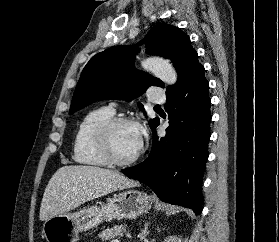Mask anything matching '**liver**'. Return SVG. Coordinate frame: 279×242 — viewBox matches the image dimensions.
<instances>
[{"instance_id": "obj_1", "label": "liver", "mask_w": 279, "mask_h": 242, "mask_svg": "<svg viewBox=\"0 0 279 242\" xmlns=\"http://www.w3.org/2000/svg\"><path fill=\"white\" fill-rule=\"evenodd\" d=\"M137 185V182L113 170L82 165L63 166L54 173L45 188L40 220L46 221L87 201Z\"/></svg>"}]
</instances>
